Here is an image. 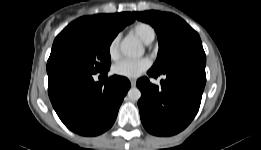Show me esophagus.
I'll use <instances>...</instances> for the list:
<instances>
[{
    "mask_svg": "<svg viewBox=\"0 0 261 150\" xmlns=\"http://www.w3.org/2000/svg\"><path fill=\"white\" fill-rule=\"evenodd\" d=\"M130 83L132 87L136 86V80L135 79H130Z\"/></svg>",
    "mask_w": 261,
    "mask_h": 150,
    "instance_id": "esophagus-1",
    "label": "esophagus"
}]
</instances>
